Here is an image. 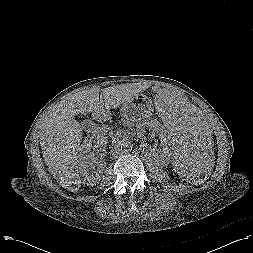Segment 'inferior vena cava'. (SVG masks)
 Here are the masks:
<instances>
[{
  "mask_svg": "<svg viewBox=\"0 0 253 253\" xmlns=\"http://www.w3.org/2000/svg\"><path fill=\"white\" fill-rule=\"evenodd\" d=\"M99 130H101L100 128H99ZM95 132H99L98 130H95ZM121 154V150H120V147H119V145H115L114 147H113V149L111 150V155L113 156V157H117L118 155H120Z\"/></svg>",
  "mask_w": 253,
  "mask_h": 253,
  "instance_id": "1",
  "label": "inferior vena cava"
}]
</instances>
